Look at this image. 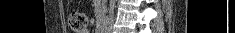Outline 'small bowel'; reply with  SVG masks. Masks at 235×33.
<instances>
[{
    "label": "small bowel",
    "mask_w": 235,
    "mask_h": 33,
    "mask_svg": "<svg viewBox=\"0 0 235 33\" xmlns=\"http://www.w3.org/2000/svg\"><path fill=\"white\" fill-rule=\"evenodd\" d=\"M84 33H89V31L87 30V31H85Z\"/></svg>",
    "instance_id": "small-bowel-1"
}]
</instances>
